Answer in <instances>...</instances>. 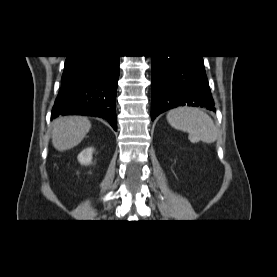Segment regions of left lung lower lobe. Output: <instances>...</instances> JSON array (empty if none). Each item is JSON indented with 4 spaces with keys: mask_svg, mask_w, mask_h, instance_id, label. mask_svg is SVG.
<instances>
[{
    "mask_svg": "<svg viewBox=\"0 0 277 277\" xmlns=\"http://www.w3.org/2000/svg\"><path fill=\"white\" fill-rule=\"evenodd\" d=\"M152 120L177 106L215 111L202 56H151Z\"/></svg>",
    "mask_w": 277,
    "mask_h": 277,
    "instance_id": "left-lung-lower-lobe-1",
    "label": "left lung lower lobe"
}]
</instances>
